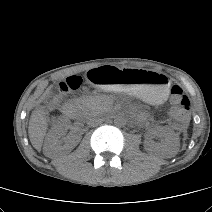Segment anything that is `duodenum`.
Masks as SVG:
<instances>
[{"instance_id":"1","label":"duodenum","mask_w":212,"mask_h":212,"mask_svg":"<svg viewBox=\"0 0 212 212\" xmlns=\"http://www.w3.org/2000/svg\"><path fill=\"white\" fill-rule=\"evenodd\" d=\"M63 114L68 118H74L75 117V109L71 104H66L63 107Z\"/></svg>"}]
</instances>
